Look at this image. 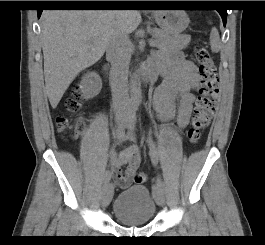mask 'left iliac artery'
Masks as SVG:
<instances>
[{
	"label": "left iliac artery",
	"mask_w": 265,
	"mask_h": 245,
	"mask_svg": "<svg viewBox=\"0 0 265 245\" xmlns=\"http://www.w3.org/2000/svg\"><path fill=\"white\" fill-rule=\"evenodd\" d=\"M147 143H148V146H149V154L152 158V161L154 164H156V161H157V151H156V147H155V144L153 143V141L151 140H148L147 139ZM163 189L164 188V182L162 181V179L160 177L157 178L156 180V184L153 185V193H155L158 189Z\"/></svg>",
	"instance_id": "44dca946"
}]
</instances>
